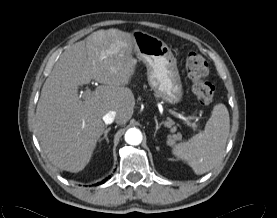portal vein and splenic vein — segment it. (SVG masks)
Listing matches in <instances>:
<instances>
[{"mask_svg": "<svg viewBox=\"0 0 277 218\" xmlns=\"http://www.w3.org/2000/svg\"><path fill=\"white\" fill-rule=\"evenodd\" d=\"M87 92H90V91H87ZM168 111H169V113L172 114L173 116H175V117H177V118H179V119H181V120H183V121H185V122H188L187 118L184 117L182 114L177 113V112H175V111H173V110H171V109H169ZM167 126H168V127H171V125H169V124H167ZM175 131H176V127H172V128H171V132L173 133V132H175Z\"/></svg>", "mask_w": 277, "mask_h": 218, "instance_id": "obj_1", "label": "portal vein and splenic vein"}]
</instances>
